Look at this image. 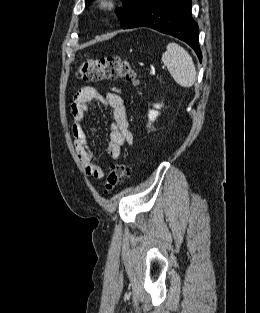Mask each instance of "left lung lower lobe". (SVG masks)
<instances>
[{"label": "left lung lower lobe", "instance_id": "left-lung-lower-lobe-1", "mask_svg": "<svg viewBox=\"0 0 260 313\" xmlns=\"http://www.w3.org/2000/svg\"><path fill=\"white\" fill-rule=\"evenodd\" d=\"M150 27L186 42L202 54L198 45L199 28L191 17V0H152L125 28Z\"/></svg>", "mask_w": 260, "mask_h": 313}]
</instances>
